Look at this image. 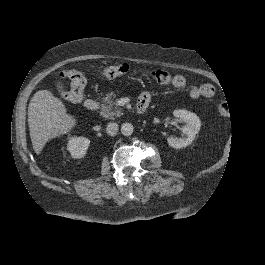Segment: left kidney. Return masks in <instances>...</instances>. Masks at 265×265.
Here are the masks:
<instances>
[{"label": "left kidney", "instance_id": "left-kidney-1", "mask_svg": "<svg viewBox=\"0 0 265 265\" xmlns=\"http://www.w3.org/2000/svg\"><path fill=\"white\" fill-rule=\"evenodd\" d=\"M173 114L176 118L186 122L187 125L183 130L184 136L182 138L176 140L173 137H168L166 139L167 143L174 149L188 147L193 143L198 131L200 130V119L194 113L183 109L175 110Z\"/></svg>", "mask_w": 265, "mask_h": 265}]
</instances>
